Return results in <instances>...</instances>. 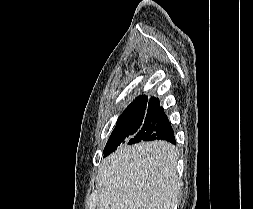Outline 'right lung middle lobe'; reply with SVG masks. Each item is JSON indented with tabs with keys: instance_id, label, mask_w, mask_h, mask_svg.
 <instances>
[{
	"instance_id": "obj_1",
	"label": "right lung middle lobe",
	"mask_w": 253,
	"mask_h": 209,
	"mask_svg": "<svg viewBox=\"0 0 253 209\" xmlns=\"http://www.w3.org/2000/svg\"><path fill=\"white\" fill-rule=\"evenodd\" d=\"M158 110L146 109L126 117H119L104 148V157L112 153L121 144H135L142 140L146 131L156 125Z\"/></svg>"
}]
</instances>
